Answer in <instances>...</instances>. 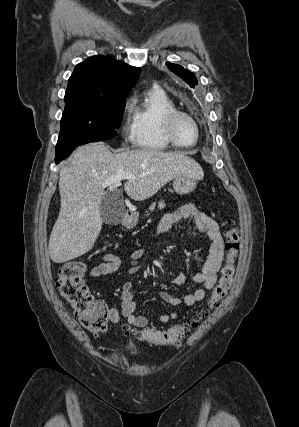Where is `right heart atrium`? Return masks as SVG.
<instances>
[{
  "mask_svg": "<svg viewBox=\"0 0 299 427\" xmlns=\"http://www.w3.org/2000/svg\"><path fill=\"white\" fill-rule=\"evenodd\" d=\"M132 111V104L131 99L127 98L123 105L121 110V129L123 137L126 140H132L133 139V126L132 121L130 120V114Z\"/></svg>",
  "mask_w": 299,
  "mask_h": 427,
  "instance_id": "right-heart-atrium-1",
  "label": "right heart atrium"
}]
</instances>
